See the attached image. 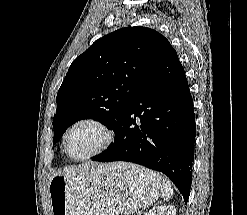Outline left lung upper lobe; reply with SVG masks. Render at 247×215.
<instances>
[{
  "label": "left lung upper lobe",
  "instance_id": "left-lung-upper-lobe-1",
  "mask_svg": "<svg viewBox=\"0 0 247 215\" xmlns=\"http://www.w3.org/2000/svg\"><path fill=\"white\" fill-rule=\"evenodd\" d=\"M170 46L147 27H126L95 41L70 65L57 94L53 143L67 127L92 118L114 132L139 86Z\"/></svg>",
  "mask_w": 247,
  "mask_h": 215
}]
</instances>
